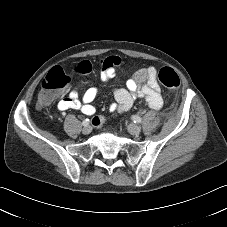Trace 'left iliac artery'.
<instances>
[{
	"mask_svg": "<svg viewBox=\"0 0 227 227\" xmlns=\"http://www.w3.org/2000/svg\"><path fill=\"white\" fill-rule=\"evenodd\" d=\"M132 120L135 122V123H140L142 121V119L137 116V115H133L132 116Z\"/></svg>",
	"mask_w": 227,
	"mask_h": 227,
	"instance_id": "left-iliac-artery-1",
	"label": "left iliac artery"
}]
</instances>
